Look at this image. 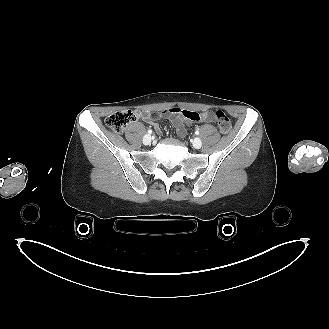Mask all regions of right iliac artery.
<instances>
[{
  "instance_id": "right-iliac-artery-1",
  "label": "right iliac artery",
  "mask_w": 329,
  "mask_h": 329,
  "mask_svg": "<svg viewBox=\"0 0 329 329\" xmlns=\"http://www.w3.org/2000/svg\"><path fill=\"white\" fill-rule=\"evenodd\" d=\"M148 133L151 134L152 133V130H148Z\"/></svg>"
}]
</instances>
